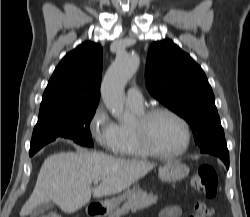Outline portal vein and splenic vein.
<instances>
[{"label": "portal vein and splenic vein", "instance_id": "portal-vein-and-splenic-vein-1", "mask_svg": "<svg viewBox=\"0 0 250 217\" xmlns=\"http://www.w3.org/2000/svg\"><path fill=\"white\" fill-rule=\"evenodd\" d=\"M100 179H95L94 180V185H97L99 183Z\"/></svg>", "mask_w": 250, "mask_h": 217}]
</instances>
